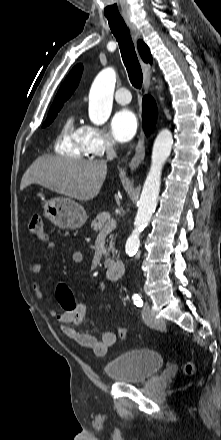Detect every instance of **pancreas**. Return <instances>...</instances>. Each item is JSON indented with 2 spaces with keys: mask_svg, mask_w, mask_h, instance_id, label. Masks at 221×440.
<instances>
[{
  "mask_svg": "<svg viewBox=\"0 0 221 440\" xmlns=\"http://www.w3.org/2000/svg\"><path fill=\"white\" fill-rule=\"evenodd\" d=\"M111 220L110 214L108 212H102L99 213L96 218L92 221L91 227L96 232H102L105 229V226L109 223ZM110 241V247L108 248V252L112 251L114 253V242H113V236H109Z\"/></svg>",
  "mask_w": 221,
  "mask_h": 440,
  "instance_id": "pancreas-1",
  "label": "pancreas"
}]
</instances>
